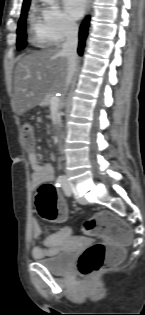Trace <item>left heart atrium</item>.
I'll return each instance as SVG.
<instances>
[{
	"label": "left heart atrium",
	"instance_id": "1",
	"mask_svg": "<svg viewBox=\"0 0 145 315\" xmlns=\"http://www.w3.org/2000/svg\"><path fill=\"white\" fill-rule=\"evenodd\" d=\"M87 0H63L66 13L72 19H78L83 14Z\"/></svg>",
	"mask_w": 145,
	"mask_h": 315
}]
</instances>
